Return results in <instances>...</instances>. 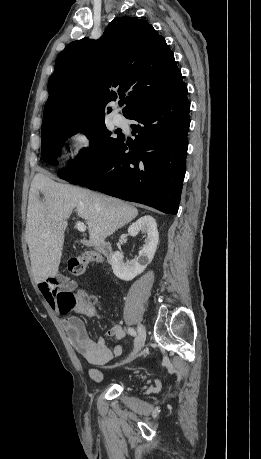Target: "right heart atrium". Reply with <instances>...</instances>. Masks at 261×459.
Returning a JSON list of instances; mask_svg holds the SVG:
<instances>
[{
  "mask_svg": "<svg viewBox=\"0 0 261 459\" xmlns=\"http://www.w3.org/2000/svg\"><path fill=\"white\" fill-rule=\"evenodd\" d=\"M68 141L67 161L70 164H74L89 152L93 145V136L87 128L78 127L70 133Z\"/></svg>",
  "mask_w": 261,
  "mask_h": 459,
  "instance_id": "1",
  "label": "right heart atrium"
}]
</instances>
